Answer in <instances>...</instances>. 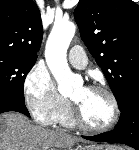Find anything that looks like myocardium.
Returning <instances> with one entry per match:
<instances>
[{
	"label": "myocardium",
	"instance_id": "f54148a6",
	"mask_svg": "<svg viewBox=\"0 0 139 150\" xmlns=\"http://www.w3.org/2000/svg\"><path fill=\"white\" fill-rule=\"evenodd\" d=\"M88 88L95 91L102 92L108 96L112 107V117L110 121L104 126H100V127L91 126L84 120L78 104L71 99L72 117L75 124L81 129L93 133H104L110 131L117 125L121 115L120 105L116 95L114 94L113 91H111L109 88L103 85H91Z\"/></svg>",
	"mask_w": 139,
	"mask_h": 150
}]
</instances>
